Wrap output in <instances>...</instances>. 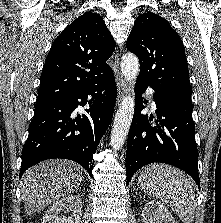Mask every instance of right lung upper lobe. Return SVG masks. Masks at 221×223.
<instances>
[{"instance_id": "obj_1", "label": "right lung upper lobe", "mask_w": 221, "mask_h": 223, "mask_svg": "<svg viewBox=\"0 0 221 223\" xmlns=\"http://www.w3.org/2000/svg\"><path fill=\"white\" fill-rule=\"evenodd\" d=\"M115 41L103 19L87 12L55 39L45 60L35 106L66 97L101 78L111 69L106 60Z\"/></svg>"}]
</instances>
